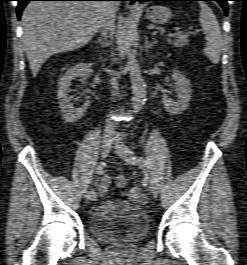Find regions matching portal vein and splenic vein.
Instances as JSON below:
<instances>
[{
    "label": "portal vein and splenic vein",
    "instance_id": "1",
    "mask_svg": "<svg viewBox=\"0 0 247 265\" xmlns=\"http://www.w3.org/2000/svg\"><path fill=\"white\" fill-rule=\"evenodd\" d=\"M174 34L173 33H167L165 34V36H173Z\"/></svg>",
    "mask_w": 247,
    "mask_h": 265
}]
</instances>
